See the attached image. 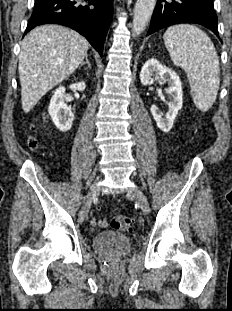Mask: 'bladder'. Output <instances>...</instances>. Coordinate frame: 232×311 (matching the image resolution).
Segmentation results:
<instances>
[{"instance_id": "bladder-1", "label": "bladder", "mask_w": 232, "mask_h": 311, "mask_svg": "<svg viewBox=\"0 0 232 311\" xmlns=\"http://www.w3.org/2000/svg\"><path fill=\"white\" fill-rule=\"evenodd\" d=\"M92 244L98 252L123 254L131 249V241L127 236L110 230L94 235Z\"/></svg>"}]
</instances>
